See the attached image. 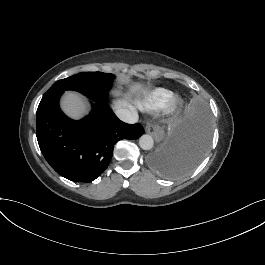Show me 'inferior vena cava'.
<instances>
[{
  "label": "inferior vena cava",
  "mask_w": 265,
  "mask_h": 265,
  "mask_svg": "<svg viewBox=\"0 0 265 265\" xmlns=\"http://www.w3.org/2000/svg\"><path fill=\"white\" fill-rule=\"evenodd\" d=\"M115 114L121 121L128 124H136L139 120V116L135 110H129L127 108H117L115 110Z\"/></svg>",
  "instance_id": "602c4592"
}]
</instances>
